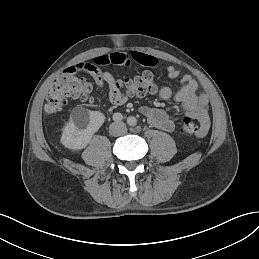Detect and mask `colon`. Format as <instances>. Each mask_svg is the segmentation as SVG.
Instances as JSON below:
<instances>
[{
  "label": "colon",
  "mask_w": 259,
  "mask_h": 259,
  "mask_svg": "<svg viewBox=\"0 0 259 259\" xmlns=\"http://www.w3.org/2000/svg\"><path fill=\"white\" fill-rule=\"evenodd\" d=\"M155 91L153 75L145 71L125 80H116L111 94L115 98L125 95L141 97ZM68 99L84 102L93 101V88L86 79L75 73L64 72L50 88L46 99L45 111L48 115L57 114L66 105ZM180 130L186 135H197L200 127L188 116L182 119Z\"/></svg>",
  "instance_id": "colon-1"
}]
</instances>
